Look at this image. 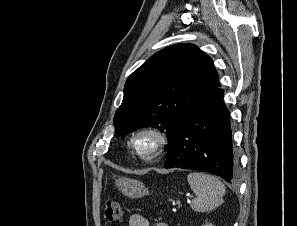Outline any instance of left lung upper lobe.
Segmentation results:
<instances>
[{
    "instance_id": "obj_1",
    "label": "left lung upper lobe",
    "mask_w": 297,
    "mask_h": 226,
    "mask_svg": "<svg viewBox=\"0 0 297 226\" xmlns=\"http://www.w3.org/2000/svg\"><path fill=\"white\" fill-rule=\"evenodd\" d=\"M219 86L211 58L195 45L166 47L128 77L114 116L115 134L152 126L166 130L168 149L198 101Z\"/></svg>"
}]
</instances>
